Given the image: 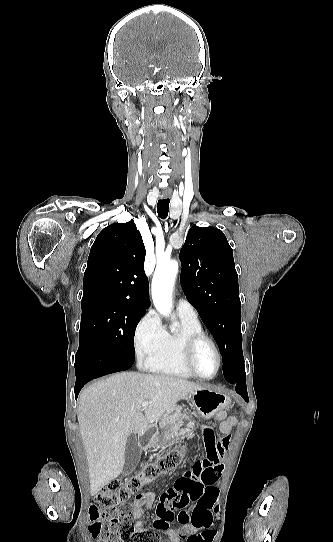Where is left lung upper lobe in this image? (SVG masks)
<instances>
[{"instance_id":"left-lung-upper-lobe-1","label":"left lung upper lobe","mask_w":333,"mask_h":542,"mask_svg":"<svg viewBox=\"0 0 333 542\" xmlns=\"http://www.w3.org/2000/svg\"><path fill=\"white\" fill-rule=\"evenodd\" d=\"M179 258L184 294L218 344L224 377L245 372L238 274L224 233L193 225Z\"/></svg>"}]
</instances>
